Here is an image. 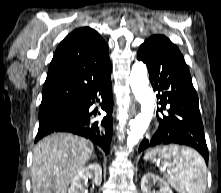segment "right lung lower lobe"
<instances>
[{"mask_svg":"<svg viewBox=\"0 0 221 193\" xmlns=\"http://www.w3.org/2000/svg\"><path fill=\"white\" fill-rule=\"evenodd\" d=\"M98 96L102 98L101 108L107 112V115L96 118V112L90 113L89 108L95 99L98 100ZM80 103V110L74 115L58 123L39 128L35 142L53 132H70L90 139L108 154L113 134L110 116L113 108L111 65L93 79L86 92L80 97Z\"/></svg>","mask_w":221,"mask_h":193,"instance_id":"1","label":"right lung lower lobe"}]
</instances>
